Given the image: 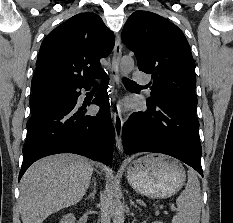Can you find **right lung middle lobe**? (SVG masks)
I'll use <instances>...</instances> for the list:
<instances>
[{
	"mask_svg": "<svg viewBox=\"0 0 233 223\" xmlns=\"http://www.w3.org/2000/svg\"><path fill=\"white\" fill-rule=\"evenodd\" d=\"M29 103H30V108L32 112L37 111L43 105L40 98L36 95L31 96Z\"/></svg>",
	"mask_w": 233,
	"mask_h": 223,
	"instance_id": "obj_1",
	"label": "right lung middle lobe"
}]
</instances>
